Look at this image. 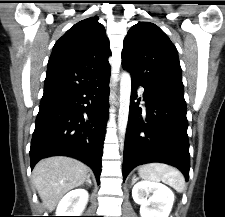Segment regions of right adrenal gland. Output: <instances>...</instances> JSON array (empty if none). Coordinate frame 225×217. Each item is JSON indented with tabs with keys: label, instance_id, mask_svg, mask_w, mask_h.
<instances>
[{
	"label": "right adrenal gland",
	"instance_id": "1",
	"mask_svg": "<svg viewBox=\"0 0 225 217\" xmlns=\"http://www.w3.org/2000/svg\"><path fill=\"white\" fill-rule=\"evenodd\" d=\"M86 183H88L89 185H92L90 174L87 176Z\"/></svg>",
	"mask_w": 225,
	"mask_h": 217
}]
</instances>
